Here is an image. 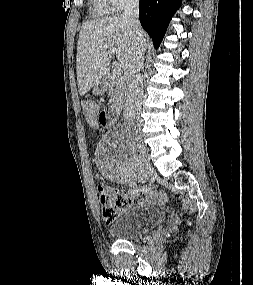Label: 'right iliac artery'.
<instances>
[{
    "label": "right iliac artery",
    "instance_id": "obj_1",
    "mask_svg": "<svg viewBox=\"0 0 253 285\" xmlns=\"http://www.w3.org/2000/svg\"><path fill=\"white\" fill-rule=\"evenodd\" d=\"M129 186H130L131 188H134V187L136 186V182H135L134 180H130V181H129Z\"/></svg>",
    "mask_w": 253,
    "mask_h": 285
}]
</instances>
